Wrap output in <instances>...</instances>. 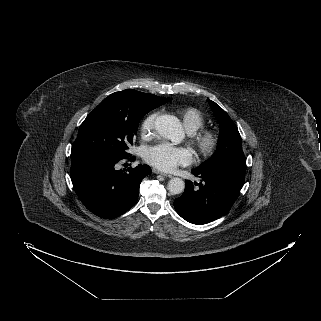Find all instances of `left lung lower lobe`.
<instances>
[{
	"label": "left lung lower lobe",
	"mask_w": 321,
	"mask_h": 321,
	"mask_svg": "<svg viewBox=\"0 0 321 321\" xmlns=\"http://www.w3.org/2000/svg\"><path fill=\"white\" fill-rule=\"evenodd\" d=\"M246 160L227 161L196 168L200 183L187 180L184 193L174 201L177 213L186 221L201 225L226 214L244 184Z\"/></svg>",
	"instance_id": "1"
}]
</instances>
